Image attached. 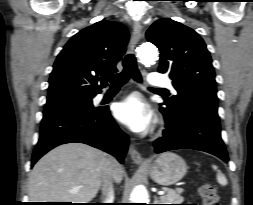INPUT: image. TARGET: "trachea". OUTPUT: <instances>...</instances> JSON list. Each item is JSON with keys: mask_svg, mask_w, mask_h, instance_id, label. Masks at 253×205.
<instances>
[{"mask_svg": "<svg viewBox=\"0 0 253 205\" xmlns=\"http://www.w3.org/2000/svg\"><path fill=\"white\" fill-rule=\"evenodd\" d=\"M130 78L135 81L142 82L141 74L138 70L135 56L128 54L123 59V71L118 74L109 75L107 80L111 83L112 88L123 86ZM158 91H166L165 89H155Z\"/></svg>", "mask_w": 253, "mask_h": 205, "instance_id": "trachea-1", "label": "trachea"}]
</instances>
